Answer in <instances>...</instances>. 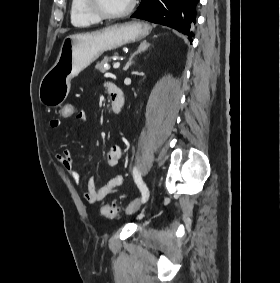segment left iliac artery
I'll return each instance as SVG.
<instances>
[{"instance_id":"left-iliac-artery-1","label":"left iliac artery","mask_w":280,"mask_h":283,"mask_svg":"<svg viewBox=\"0 0 280 283\" xmlns=\"http://www.w3.org/2000/svg\"><path fill=\"white\" fill-rule=\"evenodd\" d=\"M133 177L135 180V183L137 184L138 188L140 189L142 193V202H146L149 198V190L146 186V184L143 182L141 174L137 167L133 168Z\"/></svg>"}]
</instances>
